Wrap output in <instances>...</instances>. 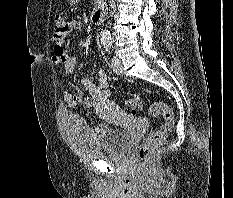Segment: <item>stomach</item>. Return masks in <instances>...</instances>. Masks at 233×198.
Listing matches in <instances>:
<instances>
[{
  "label": "stomach",
  "mask_w": 233,
  "mask_h": 198,
  "mask_svg": "<svg viewBox=\"0 0 233 198\" xmlns=\"http://www.w3.org/2000/svg\"><path fill=\"white\" fill-rule=\"evenodd\" d=\"M80 0H68L69 4L71 5H75L76 3H78Z\"/></svg>",
  "instance_id": "0dacf381"
}]
</instances>
